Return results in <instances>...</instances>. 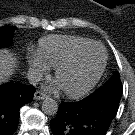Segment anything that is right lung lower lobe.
Returning <instances> with one entry per match:
<instances>
[{
	"instance_id": "obj_1",
	"label": "right lung lower lobe",
	"mask_w": 135,
	"mask_h": 135,
	"mask_svg": "<svg viewBox=\"0 0 135 135\" xmlns=\"http://www.w3.org/2000/svg\"><path fill=\"white\" fill-rule=\"evenodd\" d=\"M35 88L20 83L0 87V135H12L19 121V110L33 99Z\"/></svg>"
}]
</instances>
